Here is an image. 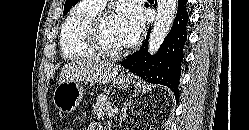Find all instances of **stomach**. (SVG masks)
<instances>
[{
  "label": "stomach",
  "instance_id": "obj_1",
  "mask_svg": "<svg viewBox=\"0 0 249 130\" xmlns=\"http://www.w3.org/2000/svg\"><path fill=\"white\" fill-rule=\"evenodd\" d=\"M136 82L133 77H126L119 75L113 79V84L117 89L125 90L129 86ZM83 97V87L80 82L77 81H66L60 83L53 93V102L56 108L65 113L69 114L79 105Z\"/></svg>",
  "mask_w": 249,
  "mask_h": 130
}]
</instances>
